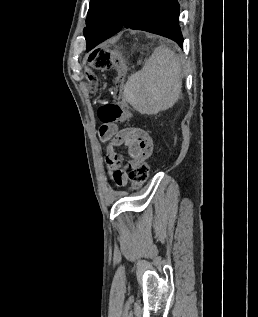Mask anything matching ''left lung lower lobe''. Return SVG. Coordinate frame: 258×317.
Here are the masks:
<instances>
[{
	"label": "left lung lower lobe",
	"instance_id": "1",
	"mask_svg": "<svg viewBox=\"0 0 258 317\" xmlns=\"http://www.w3.org/2000/svg\"><path fill=\"white\" fill-rule=\"evenodd\" d=\"M180 6L177 0H131L121 27L100 26L85 35L87 51L118 33L122 28L143 30L175 41L183 48L178 24Z\"/></svg>",
	"mask_w": 258,
	"mask_h": 317
}]
</instances>
